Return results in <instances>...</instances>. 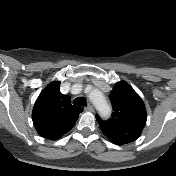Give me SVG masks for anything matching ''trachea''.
I'll return each mask as SVG.
<instances>
[{
  "instance_id": "trachea-1",
  "label": "trachea",
  "mask_w": 176,
  "mask_h": 176,
  "mask_svg": "<svg viewBox=\"0 0 176 176\" xmlns=\"http://www.w3.org/2000/svg\"><path fill=\"white\" fill-rule=\"evenodd\" d=\"M73 104L79 106H87L86 99L84 97H77L74 99Z\"/></svg>"
}]
</instances>
